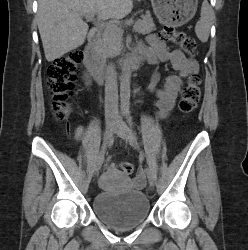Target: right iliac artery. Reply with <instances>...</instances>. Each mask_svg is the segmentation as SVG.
Returning a JSON list of instances; mask_svg holds the SVG:
<instances>
[{
	"instance_id": "1",
	"label": "right iliac artery",
	"mask_w": 248,
	"mask_h": 250,
	"mask_svg": "<svg viewBox=\"0 0 248 250\" xmlns=\"http://www.w3.org/2000/svg\"><path fill=\"white\" fill-rule=\"evenodd\" d=\"M119 118L122 119V116L120 115ZM98 157H104L103 147H102L101 151L99 152Z\"/></svg>"
}]
</instances>
